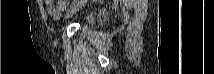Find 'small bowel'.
<instances>
[{
  "mask_svg": "<svg viewBox=\"0 0 214 74\" xmlns=\"http://www.w3.org/2000/svg\"><path fill=\"white\" fill-rule=\"evenodd\" d=\"M64 7V5H48L47 6V11L50 15L53 17H59L61 15V10Z\"/></svg>",
  "mask_w": 214,
  "mask_h": 74,
  "instance_id": "1",
  "label": "small bowel"
}]
</instances>
